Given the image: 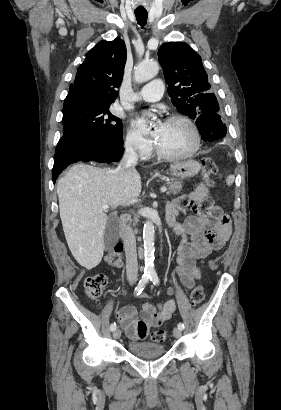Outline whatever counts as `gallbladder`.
I'll return each mask as SVG.
<instances>
[{
	"mask_svg": "<svg viewBox=\"0 0 281 410\" xmlns=\"http://www.w3.org/2000/svg\"><path fill=\"white\" fill-rule=\"evenodd\" d=\"M118 239L117 218L115 216H109L105 231H104V247L106 250H110Z\"/></svg>",
	"mask_w": 281,
	"mask_h": 410,
	"instance_id": "gallbladder-1",
	"label": "gallbladder"
}]
</instances>
